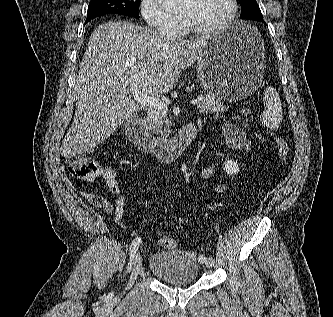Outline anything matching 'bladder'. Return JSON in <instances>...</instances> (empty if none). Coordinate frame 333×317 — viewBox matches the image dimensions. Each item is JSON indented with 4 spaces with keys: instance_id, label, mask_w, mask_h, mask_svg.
<instances>
[{
    "instance_id": "obj_1",
    "label": "bladder",
    "mask_w": 333,
    "mask_h": 317,
    "mask_svg": "<svg viewBox=\"0 0 333 317\" xmlns=\"http://www.w3.org/2000/svg\"><path fill=\"white\" fill-rule=\"evenodd\" d=\"M148 271L157 279L172 285H189L200 277L197 255L185 249L159 251L150 255Z\"/></svg>"
}]
</instances>
